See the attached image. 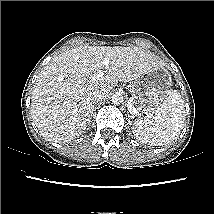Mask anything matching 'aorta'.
<instances>
[{
  "label": "aorta",
  "instance_id": "obj_1",
  "mask_svg": "<svg viewBox=\"0 0 214 214\" xmlns=\"http://www.w3.org/2000/svg\"><path fill=\"white\" fill-rule=\"evenodd\" d=\"M123 102V96L120 93H116L112 96V103L114 105H119Z\"/></svg>",
  "mask_w": 214,
  "mask_h": 214
}]
</instances>
